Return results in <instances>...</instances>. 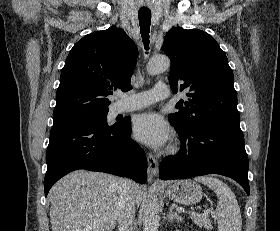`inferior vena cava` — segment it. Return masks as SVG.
I'll list each match as a JSON object with an SVG mask.
<instances>
[{
    "label": "inferior vena cava",
    "mask_w": 280,
    "mask_h": 231,
    "mask_svg": "<svg viewBox=\"0 0 280 231\" xmlns=\"http://www.w3.org/2000/svg\"><path fill=\"white\" fill-rule=\"evenodd\" d=\"M135 183L130 179H119V197L116 201L117 221L119 231H133L135 215V197L133 187Z\"/></svg>",
    "instance_id": "1"
}]
</instances>
